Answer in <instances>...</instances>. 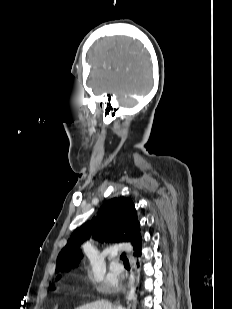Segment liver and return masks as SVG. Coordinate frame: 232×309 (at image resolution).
<instances>
[{
    "instance_id": "1",
    "label": "liver",
    "mask_w": 232,
    "mask_h": 309,
    "mask_svg": "<svg viewBox=\"0 0 232 309\" xmlns=\"http://www.w3.org/2000/svg\"><path fill=\"white\" fill-rule=\"evenodd\" d=\"M77 309H116L112 306V304L105 300L95 301L83 306H80Z\"/></svg>"
}]
</instances>
